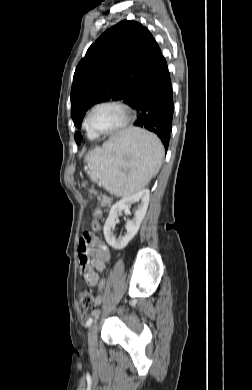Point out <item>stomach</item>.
Instances as JSON below:
<instances>
[{
    "mask_svg": "<svg viewBox=\"0 0 252 390\" xmlns=\"http://www.w3.org/2000/svg\"><path fill=\"white\" fill-rule=\"evenodd\" d=\"M125 159H126V160H130V156L126 155V156H125Z\"/></svg>",
    "mask_w": 252,
    "mask_h": 390,
    "instance_id": "stomach-1",
    "label": "stomach"
}]
</instances>
